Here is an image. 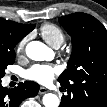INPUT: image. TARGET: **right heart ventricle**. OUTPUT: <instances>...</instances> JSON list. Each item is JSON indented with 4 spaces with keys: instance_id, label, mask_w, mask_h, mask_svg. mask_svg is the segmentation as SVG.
Here are the masks:
<instances>
[{
    "instance_id": "obj_1",
    "label": "right heart ventricle",
    "mask_w": 107,
    "mask_h": 107,
    "mask_svg": "<svg viewBox=\"0 0 107 107\" xmlns=\"http://www.w3.org/2000/svg\"><path fill=\"white\" fill-rule=\"evenodd\" d=\"M40 34L43 39L54 48H59L65 41L63 30L52 23L42 25L40 27Z\"/></svg>"
}]
</instances>
